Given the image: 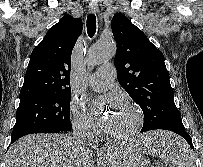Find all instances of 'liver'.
I'll return each mask as SVG.
<instances>
[{"instance_id":"obj_1","label":"liver","mask_w":203,"mask_h":167,"mask_svg":"<svg viewBox=\"0 0 203 167\" xmlns=\"http://www.w3.org/2000/svg\"><path fill=\"white\" fill-rule=\"evenodd\" d=\"M136 147H140L137 143ZM110 146L105 157L112 164L118 150ZM6 167H95L93 152L79 149L71 136L63 134H32L16 141L8 150Z\"/></svg>"}]
</instances>
